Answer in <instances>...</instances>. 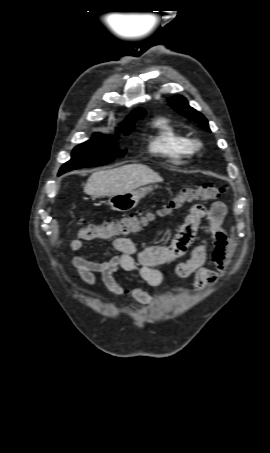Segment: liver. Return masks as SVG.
<instances>
[{
	"mask_svg": "<svg viewBox=\"0 0 270 453\" xmlns=\"http://www.w3.org/2000/svg\"><path fill=\"white\" fill-rule=\"evenodd\" d=\"M162 181L159 174L146 165L127 164L92 173L84 187V192L90 196H112Z\"/></svg>",
	"mask_w": 270,
	"mask_h": 453,
	"instance_id": "obj_1",
	"label": "liver"
}]
</instances>
